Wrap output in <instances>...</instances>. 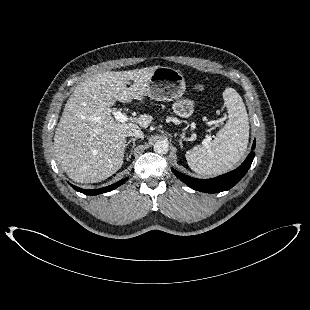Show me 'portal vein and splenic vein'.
I'll list each match as a JSON object with an SVG mask.
<instances>
[{
  "label": "portal vein and splenic vein",
  "instance_id": "portal-vein-and-splenic-vein-1",
  "mask_svg": "<svg viewBox=\"0 0 310 310\" xmlns=\"http://www.w3.org/2000/svg\"><path fill=\"white\" fill-rule=\"evenodd\" d=\"M108 112L115 117L116 121L126 122L128 120V117L120 110H114V109L108 108ZM210 140L211 138L207 137L205 141L209 142Z\"/></svg>",
  "mask_w": 310,
  "mask_h": 310
}]
</instances>
